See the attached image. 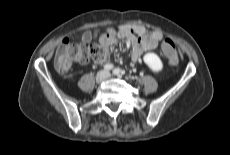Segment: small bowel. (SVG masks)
<instances>
[{"mask_svg": "<svg viewBox=\"0 0 230 155\" xmlns=\"http://www.w3.org/2000/svg\"><path fill=\"white\" fill-rule=\"evenodd\" d=\"M93 36L90 32H85L82 35L84 42H90ZM128 40L132 45V59L137 62L141 59L145 52L152 51L159 47L162 54L161 44L163 41V34L160 30H152L148 32L145 27L141 25H120L115 28H109L104 31L100 37L99 42L105 47L104 56L95 60V63L102 64L108 60V48L119 41ZM167 56V54H164Z\"/></svg>", "mask_w": 230, "mask_h": 155, "instance_id": "c3829d8e", "label": "small bowel"}]
</instances>
